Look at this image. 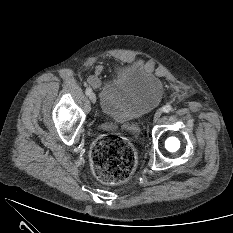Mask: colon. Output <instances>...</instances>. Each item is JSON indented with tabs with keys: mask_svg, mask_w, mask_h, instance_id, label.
<instances>
[{
	"mask_svg": "<svg viewBox=\"0 0 233 233\" xmlns=\"http://www.w3.org/2000/svg\"><path fill=\"white\" fill-rule=\"evenodd\" d=\"M92 169L104 184L117 185L133 174L137 159L130 142L115 134L97 138L90 150Z\"/></svg>",
	"mask_w": 233,
	"mask_h": 233,
	"instance_id": "1",
	"label": "colon"
}]
</instances>
